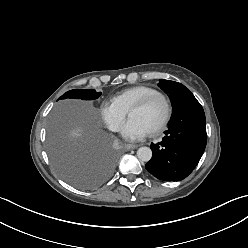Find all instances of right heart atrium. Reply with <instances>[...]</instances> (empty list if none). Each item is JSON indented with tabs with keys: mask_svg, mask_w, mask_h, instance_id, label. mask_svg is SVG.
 Masks as SVG:
<instances>
[{
	"mask_svg": "<svg viewBox=\"0 0 248 248\" xmlns=\"http://www.w3.org/2000/svg\"><path fill=\"white\" fill-rule=\"evenodd\" d=\"M100 115L105 123V125L111 130V131H119L121 128L127 112L124 111L119 105H117L112 100L110 101H104L100 105Z\"/></svg>",
	"mask_w": 248,
	"mask_h": 248,
	"instance_id": "right-heart-atrium-1",
	"label": "right heart atrium"
}]
</instances>
